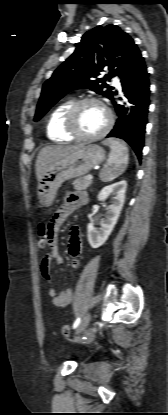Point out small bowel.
Segmentation results:
<instances>
[{
	"label": "small bowel",
	"mask_w": 168,
	"mask_h": 415,
	"mask_svg": "<svg viewBox=\"0 0 168 415\" xmlns=\"http://www.w3.org/2000/svg\"><path fill=\"white\" fill-rule=\"evenodd\" d=\"M88 201L85 193L68 192L64 196V200L60 208L53 215L51 220L46 223L49 246V252L43 257L40 264V272L43 278L50 282L51 280V265L53 262L63 264L64 260L58 248V235L63 222L79 207L85 205ZM82 252V238L78 226L73 225L69 230L68 240V254L72 258L71 267L73 269L80 268V262L77 259ZM49 295L52 298L53 304L56 307H66L73 299V291L66 289L61 293H56L53 287H49Z\"/></svg>",
	"instance_id": "obj_1"
}]
</instances>
